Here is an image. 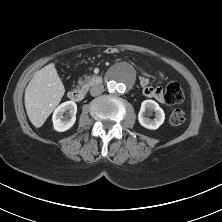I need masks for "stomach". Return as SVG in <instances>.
Returning a JSON list of instances; mask_svg holds the SVG:
<instances>
[{"label": "stomach", "mask_w": 222, "mask_h": 222, "mask_svg": "<svg viewBox=\"0 0 222 222\" xmlns=\"http://www.w3.org/2000/svg\"><path fill=\"white\" fill-rule=\"evenodd\" d=\"M108 52H114V49L109 48V49H108Z\"/></svg>", "instance_id": "stomach-1"}]
</instances>
